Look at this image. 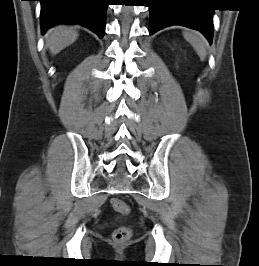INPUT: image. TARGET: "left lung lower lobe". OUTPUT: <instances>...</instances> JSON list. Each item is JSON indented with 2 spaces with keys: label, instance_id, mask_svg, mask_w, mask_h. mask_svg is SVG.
I'll list each match as a JSON object with an SVG mask.
<instances>
[{
  "label": "left lung lower lobe",
  "instance_id": "1",
  "mask_svg": "<svg viewBox=\"0 0 259 266\" xmlns=\"http://www.w3.org/2000/svg\"><path fill=\"white\" fill-rule=\"evenodd\" d=\"M150 35L170 25L201 31L212 42L213 10L191 0H149Z\"/></svg>",
  "mask_w": 259,
  "mask_h": 266
}]
</instances>
